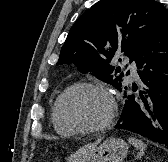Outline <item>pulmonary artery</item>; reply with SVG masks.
<instances>
[{"instance_id":"pulmonary-artery-1","label":"pulmonary artery","mask_w":168,"mask_h":162,"mask_svg":"<svg viewBox=\"0 0 168 162\" xmlns=\"http://www.w3.org/2000/svg\"><path fill=\"white\" fill-rule=\"evenodd\" d=\"M129 68L131 71V76L136 78L138 76V72H137V64L135 61H132L129 63Z\"/></svg>"}]
</instances>
